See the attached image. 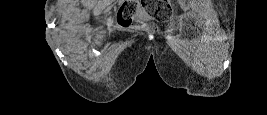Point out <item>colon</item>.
Returning <instances> with one entry per match:
<instances>
[{"mask_svg": "<svg viewBox=\"0 0 267 115\" xmlns=\"http://www.w3.org/2000/svg\"><path fill=\"white\" fill-rule=\"evenodd\" d=\"M143 8L155 21L167 22L172 17L170 0H130L124 2L118 10L117 21L122 26H135L153 30L154 24H148L140 18Z\"/></svg>", "mask_w": 267, "mask_h": 115, "instance_id": "colon-1", "label": "colon"}]
</instances>
